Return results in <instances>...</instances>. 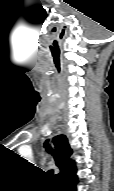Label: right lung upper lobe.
<instances>
[{
	"label": "right lung upper lobe",
	"instance_id": "obj_1",
	"mask_svg": "<svg viewBox=\"0 0 114 191\" xmlns=\"http://www.w3.org/2000/svg\"><path fill=\"white\" fill-rule=\"evenodd\" d=\"M48 141L49 140H46L44 146L46 150L54 156L56 165L60 169V173L55 175V178L59 180L76 170L74 161L69 159L72 154V150L68 144L67 138L64 135L57 136L53 139L56 150H53L50 146H48Z\"/></svg>",
	"mask_w": 114,
	"mask_h": 191
}]
</instances>
